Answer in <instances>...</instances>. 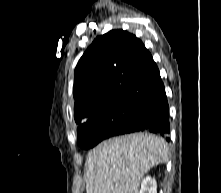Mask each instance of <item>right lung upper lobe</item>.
<instances>
[{"label": "right lung upper lobe", "instance_id": "cb5924a9", "mask_svg": "<svg viewBox=\"0 0 221 193\" xmlns=\"http://www.w3.org/2000/svg\"><path fill=\"white\" fill-rule=\"evenodd\" d=\"M161 80L150 52L135 35L112 30L97 37L80 58L74 78V118L92 117L121 99H144Z\"/></svg>", "mask_w": 221, "mask_h": 193}]
</instances>
